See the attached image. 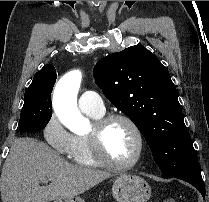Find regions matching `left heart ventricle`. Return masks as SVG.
<instances>
[{
	"mask_svg": "<svg viewBox=\"0 0 209 202\" xmlns=\"http://www.w3.org/2000/svg\"><path fill=\"white\" fill-rule=\"evenodd\" d=\"M103 146L110 159L118 163H130L137 152V137L132 128L123 121H116L107 128Z\"/></svg>",
	"mask_w": 209,
	"mask_h": 202,
	"instance_id": "left-heart-ventricle-1",
	"label": "left heart ventricle"
}]
</instances>
